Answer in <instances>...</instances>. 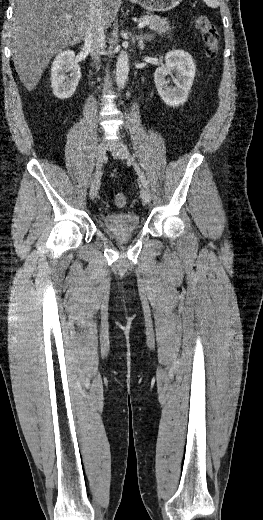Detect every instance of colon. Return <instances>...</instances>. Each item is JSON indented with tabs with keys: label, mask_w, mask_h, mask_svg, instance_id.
<instances>
[{
	"label": "colon",
	"mask_w": 263,
	"mask_h": 520,
	"mask_svg": "<svg viewBox=\"0 0 263 520\" xmlns=\"http://www.w3.org/2000/svg\"><path fill=\"white\" fill-rule=\"evenodd\" d=\"M196 29L200 32L202 41L206 48V55L210 59H215L220 51V35L215 24L203 14H198L194 18ZM115 204L117 207H124L126 198L124 194L118 193L115 196Z\"/></svg>",
	"instance_id": "obj_1"
}]
</instances>
